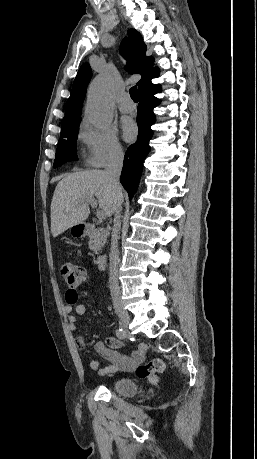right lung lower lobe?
I'll use <instances>...</instances> for the list:
<instances>
[{
  "mask_svg": "<svg viewBox=\"0 0 257 459\" xmlns=\"http://www.w3.org/2000/svg\"><path fill=\"white\" fill-rule=\"evenodd\" d=\"M158 92H160V86L151 82L139 91L140 102L137 110L139 133L137 141L128 148L125 154L120 177L121 184L128 192L130 200L136 192L143 169V161L150 151L148 142L153 134L150 127L155 122L153 108L159 104V100L153 95Z\"/></svg>",
  "mask_w": 257,
  "mask_h": 459,
  "instance_id": "98d812e1",
  "label": "right lung lower lobe"
}]
</instances>
